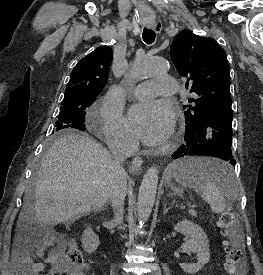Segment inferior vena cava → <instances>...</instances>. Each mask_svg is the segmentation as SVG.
Returning a JSON list of instances; mask_svg holds the SVG:
<instances>
[{"label": "inferior vena cava", "mask_w": 263, "mask_h": 275, "mask_svg": "<svg viewBox=\"0 0 263 275\" xmlns=\"http://www.w3.org/2000/svg\"><path fill=\"white\" fill-rule=\"evenodd\" d=\"M136 149V141L130 135H121L110 145L113 156L110 202L114 211L113 221L115 224H121L123 222L124 214L127 180L122 164Z\"/></svg>", "instance_id": "inferior-vena-cava-1"}]
</instances>
